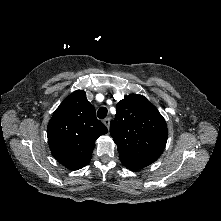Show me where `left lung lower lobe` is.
I'll use <instances>...</instances> for the list:
<instances>
[{"label":"left lung lower lobe","instance_id":"1","mask_svg":"<svg viewBox=\"0 0 221 221\" xmlns=\"http://www.w3.org/2000/svg\"><path fill=\"white\" fill-rule=\"evenodd\" d=\"M127 167V166H126ZM128 169H130V170H133L132 168H130V167H127Z\"/></svg>","mask_w":221,"mask_h":221}]
</instances>
